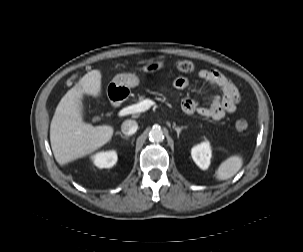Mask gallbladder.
<instances>
[{
	"instance_id": "bac80fb5",
	"label": "gallbladder",
	"mask_w": 303,
	"mask_h": 252,
	"mask_svg": "<svg viewBox=\"0 0 303 252\" xmlns=\"http://www.w3.org/2000/svg\"><path fill=\"white\" fill-rule=\"evenodd\" d=\"M82 107V114H83V116H84V112H83V106H81Z\"/></svg>"
}]
</instances>
